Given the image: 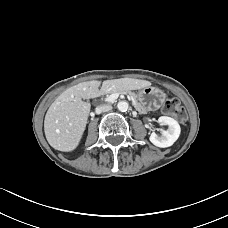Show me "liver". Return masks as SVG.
<instances>
[{"mask_svg":"<svg viewBox=\"0 0 228 228\" xmlns=\"http://www.w3.org/2000/svg\"><path fill=\"white\" fill-rule=\"evenodd\" d=\"M93 80L82 82L66 89L50 105L44 120V132L51 147L63 152L76 149L86 128L91 105L82 99L98 97L122 88L141 89L151 82L139 79H114L102 83Z\"/></svg>","mask_w":228,"mask_h":228,"instance_id":"obj_1","label":"liver"}]
</instances>
